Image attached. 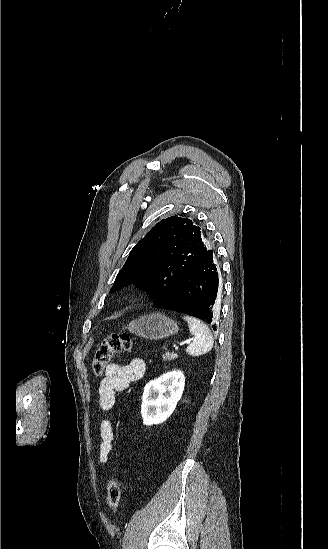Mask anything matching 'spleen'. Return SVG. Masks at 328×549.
<instances>
[{
	"label": "spleen",
	"instance_id": "3e777b00",
	"mask_svg": "<svg viewBox=\"0 0 328 549\" xmlns=\"http://www.w3.org/2000/svg\"><path fill=\"white\" fill-rule=\"evenodd\" d=\"M183 319L187 321L191 335H194V341L189 343L186 353L191 357H199V355L209 353L214 345V339L207 325L202 323L200 319L189 317V315H184Z\"/></svg>",
	"mask_w": 328,
	"mask_h": 549
}]
</instances>
